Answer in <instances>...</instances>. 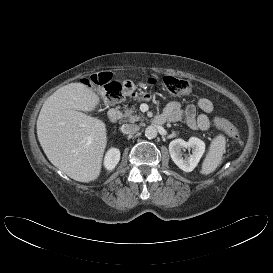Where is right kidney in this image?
I'll return each instance as SVG.
<instances>
[{"label":"right kidney","instance_id":"obj_1","mask_svg":"<svg viewBox=\"0 0 273 273\" xmlns=\"http://www.w3.org/2000/svg\"><path fill=\"white\" fill-rule=\"evenodd\" d=\"M120 160V151L116 148H111L104 160L105 168L109 171L113 170Z\"/></svg>","mask_w":273,"mask_h":273}]
</instances>
